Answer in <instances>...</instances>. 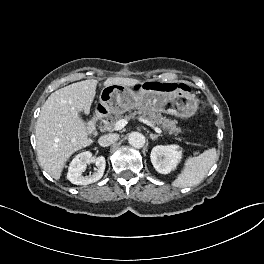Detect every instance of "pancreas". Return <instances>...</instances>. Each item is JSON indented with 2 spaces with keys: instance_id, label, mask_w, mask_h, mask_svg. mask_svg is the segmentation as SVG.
Returning a JSON list of instances; mask_svg holds the SVG:
<instances>
[{
  "instance_id": "obj_1",
  "label": "pancreas",
  "mask_w": 264,
  "mask_h": 264,
  "mask_svg": "<svg viewBox=\"0 0 264 264\" xmlns=\"http://www.w3.org/2000/svg\"><path fill=\"white\" fill-rule=\"evenodd\" d=\"M136 116L147 120L150 124L161 127L163 130L167 131L170 135L177 136L181 133V128L177 126V121L163 117L161 113L147 112L142 110H137L126 115L124 118L129 120L135 118ZM122 115L117 114L115 116H109L106 119L101 120L100 129L102 131H113L117 121L122 119Z\"/></svg>"
}]
</instances>
